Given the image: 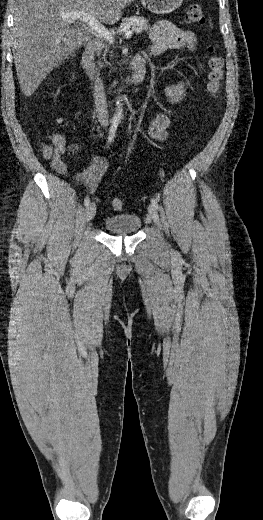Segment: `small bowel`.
I'll return each mask as SVG.
<instances>
[{"label": "small bowel", "mask_w": 263, "mask_h": 520, "mask_svg": "<svg viewBox=\"0 0 263 520\" xmlns=\"http://www.w3.org/2000/svg\"><path fill=\"white\" fill-rule=\"evenodd\" d=\"M150 42L149 53L152 55L160 54L167 49L194 50L196 47V38L192 32L181 30L169 21H159L154 25L150 32ZM185 85L186 83L180 82L169 86L166 89V95L171 100L178 101L184 93ZM170 125V117L161 113L147 126L146 133L150 138L160 142L166 139ZM53 145L52 167L56 172L64 175L67 168L63 156L74 154L78 150V145H68L61 134L53 136ZM107 167L108 160L105 157L94 158L84 171L75 175L74 179L92 193L104 176Z\"/></svg>", "instance_id": "c3829d8e"}]
</instances>
